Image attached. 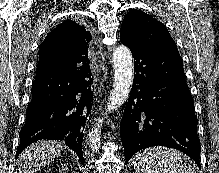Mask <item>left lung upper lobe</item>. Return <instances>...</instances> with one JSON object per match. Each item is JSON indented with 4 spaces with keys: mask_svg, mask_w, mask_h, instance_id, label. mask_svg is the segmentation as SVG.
Masks as SVG:
<instances>
[{
    "mask_svg": "<svg viewBox=\"0 0 219 173\" xmlns=\"http://www.w3.org/2000/svg\"><path fill=\"white\" fill-rule=\"evenodd\" d=\"M120 40L130 49L147 48L161 53H179L167 28L141 10H130L121 26Z\"/></svg>",
    "mask_w": 219,
    "mask_h": 173,
    "instance_id": "obj_1",
    "label": "left lung upper lobe"
}]
</instances>
